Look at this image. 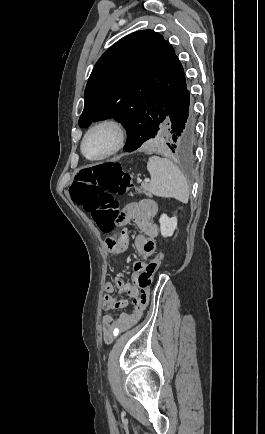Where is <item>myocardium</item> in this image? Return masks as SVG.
<instances>
[{
  "label": "myocardium",
  "instance_id": "1",
  "mask_svg": "<svg viewBox=\"0 0 265 434\" xmlns=\"http://www.w3.org/2000/svg\"><path fill=\"white\" fill-rule=\"evenodd\" d=\"M103 129H108L113 133L114 141L111 148L101 156L98 157L87 156L84 152V145L86 140L93 133ZM126 137H127V131L124 124L121 121L114 118H104L95 122L87 129V131L85 132L84 136L80 141L79 151L87 161L92 163H100L106 161L107 159L115 155L117 152H119L125 144Z\"/></svg>",
  "mask_w": 265,
  "mask_h": 434
}]
</instances>
